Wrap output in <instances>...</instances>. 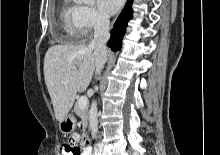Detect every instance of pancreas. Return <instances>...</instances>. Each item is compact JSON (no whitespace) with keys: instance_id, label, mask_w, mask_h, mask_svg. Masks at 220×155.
Masks as SVG:
<instances>
[{"instance_id":"1","label":"pancreas","mask_w":220,"mask_h":155,"mask_svg":"<svg viewBox=\"0 0 220 155\" xmlns=\"http://www.w3.org/2000/svg\"><path fill=\"white\" fill-rule=\"evenodd\" d=\"M74 112H75V114H76L79 118H81L83 128H85V127H86V124H87L88 108L85 107L84 109H80L79 106H78V102H76V104H75V106H74Z\"/></svg>"}]
</instances>
